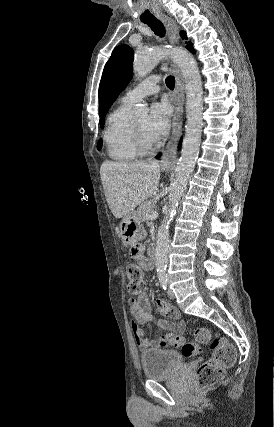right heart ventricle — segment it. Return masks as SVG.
Wrapping results in <instances>:
<instances>
[{
  "instance_id": "right-heart-ventricle-1",
  "label": "right heart ventricle",
  "mask_w": 274,
  "mask_h": 427,
  "mask_svg": "<svg viewBox=\"0 0 274 427\" xmlns=\"http://www.w3.org/2000/svg\"><path fill=\"white\" fill-rule=\"evenodd\" d=\"M131 106L119 105L110 116V124L104 133L107 156L117 162L136 161L139 155L132 143Z\"/></svg>"
}]
</instances>
